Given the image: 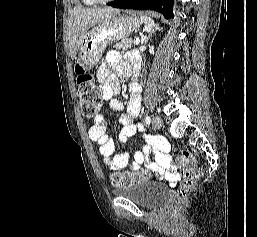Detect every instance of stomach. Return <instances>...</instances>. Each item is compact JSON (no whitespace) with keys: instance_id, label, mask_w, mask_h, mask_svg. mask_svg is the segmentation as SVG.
Wrapping results in <instances>:
<instances>
[{"instance_id":"0dacf381","label":"stomach","mask_w":257,"mask_h":237,"mask_svg":"<svg viewBox=\"0 0 257 237\" xmlns=\"http://www.w3.org/2000/svg\"><path fill=\"white\" fill-rule=\"evenodd\" d=\"M140 25L141 21L135 14H120L118 11L109 19L92 27L79 47L78 59L82 67L91 69L97 65L109 44L126 39Z\"/></svg>"}]
</instances>
